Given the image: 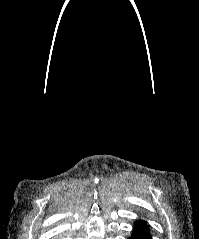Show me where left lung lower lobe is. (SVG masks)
Returning a JSON list of instances; mask_svg holds the SVG:
<instances>
[{
	"label": "left lung lower lobe",
	"instance_id": "1",
	"mask_svg": "<svg viewBox=\"0 0 199 239\" xmlns=\"http://www.w3.org/2000/svg\"><path fill=\"white\" fill-rule=\"evenodd\" d=\"M128 239H152L147 223L142 220L135 222L132 235Z\"/></svg>",
	"mask_w": 199,
	"mask_h": 239
}]
</instances>
